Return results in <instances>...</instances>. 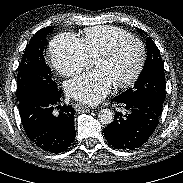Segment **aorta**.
<instances>
[{"instance_id":"obj_1","label":"aorta","mask_w":183,"mask_h":183,"mask_svg":"<svg viewBox=\"0 0 183 183\" xmlns=\"http://www.w3.org/2000/svg\"><path fill=\"white\" fill-rule=\"evenodd\" d=\"M98 118L102 124H111L114 120V112L110 109H102L98 114Z\"/></svg>"}]
</instances>
